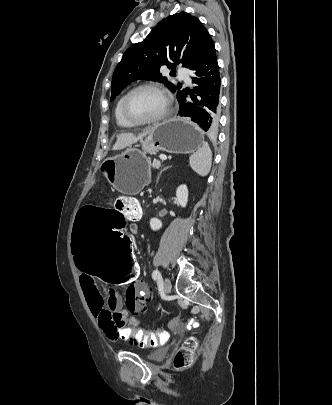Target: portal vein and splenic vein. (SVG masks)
Wrapping results in <instances>:
<instances>
[{"label":"portal vein and splenic vein","mask_w":332,"mask_h":405,"mask_svg":"<svg viewBox=\"0 0 332 405\" xmlns=\"http://www.w3.org/2000/svg\"><path fill=\"white\" fill-rule=\"evenodd\" d=\"M160 159H161V160H167V157H166L165 155H161V156H160Z\"/></svg>","instance_id":"18ae733b"}]
</instances>
